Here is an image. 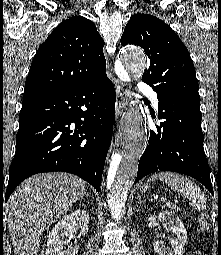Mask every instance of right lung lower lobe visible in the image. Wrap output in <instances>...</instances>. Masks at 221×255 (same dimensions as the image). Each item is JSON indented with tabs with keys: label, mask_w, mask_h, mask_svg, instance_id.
Returning a JSON list of instances; mask_svg holds the SVG:
<instances>
[{
	"label": "right lung lower lobe",
	"mask_w": 221,
	"mask_h": 255,
	"mask_svg": "<svg viewBox=\"0 0 221 255\" xmlns=\"http://www.w3.org/2000/svg\"><path fill=\"white\" fill-rule=\"evenodd\" d=\"M115 117L106 74L83 85L24 99L5 200L31 175L64 171L98 192Z\"/></svg>",
	"instance_id": "obj_1"
}]
</instances>
